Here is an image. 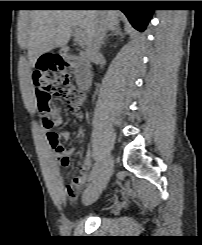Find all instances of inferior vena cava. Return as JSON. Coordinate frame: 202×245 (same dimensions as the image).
<instances>
[{"label": "inferior vena cava", "mask_w": 202, "mask_h": 245, "mask_svg": "<svg viewBox=\"0 0 202 245\" xmlns=\"http://www.w3.org/2000/svg\"><path fill=\"white\" fill-rule=\"evenodd\" d=\"M107 29L106 22L104 20H100L90 37L86 48V56L88 60L94 61L100 56V48L104 42Z\"/></svg>", "instance_id": "602c4592"}]
</instances>
